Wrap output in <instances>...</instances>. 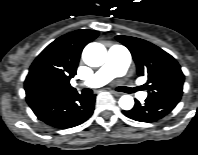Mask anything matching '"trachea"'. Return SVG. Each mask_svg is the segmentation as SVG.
<instances>
[{
	"instance_id": "obj_1",
	"label": "trachea",
	"mask_w": 198,
	"mask_h": 155,
	"mask_svg": "<svg viewBox=\"0 0 198 155\" xmlns=\"http://www.w3.org/2000/svg\"><path fill=\"white\" fill-rule=\"evenodd\" d=\"M118 91H123V90H126V92L130 93L131 92V89L127 88V87H119L117 89ZM84 94L87 96V95H90L92 94V91L90 89H85V92Z\"/></svg>"
}]
</instances>
